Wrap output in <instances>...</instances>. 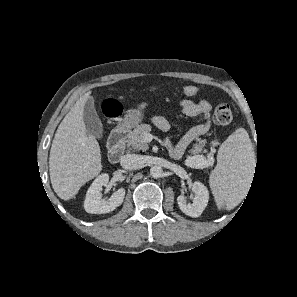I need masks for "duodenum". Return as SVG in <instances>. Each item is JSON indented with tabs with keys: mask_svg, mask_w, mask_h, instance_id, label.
I'll return each mask as SVG.
<instances>
[{
	"mask_svg": "<svg viewBox=\"0 0 297 297\" xmlns=\"http://www.w3.org/2000/svg\"><path fill=\"white\" fill-rule=\"evenodd\" d=\"M129 130V126L126 123H122L110 134L108 141V158L110 162L117 163L120 161L124 153L125 142Z\"/></svg>",
	"mask_w": 297,
	"mask_h": 297,
	"instance_id": "duodenum-1",
	"label": "duodenum"
}]
</instances>
